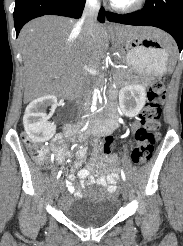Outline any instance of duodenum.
<instances>
[{"instance_id":"duodenum-1","label":"duodenum","mask_w":183,"mask_h":246,"mask_svg":"<svg viewBox=\"0 0 183 246\" xmlns=\"http://www.w3.org/2000/svg\"><path fill=\"white\" fill-rule=\"evenodd\" d=\"M113 94L112 92H110V97H112ZM74 132V127L72 126H67L66 128V134L67 135H71ZM88 136H85L84 133H79L78 136L76 137L77 141H88ZM91 144H93V150L94 151H99L100 150V143H99V139H91Z\"/></svg>"}]
</instances>
